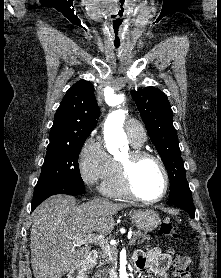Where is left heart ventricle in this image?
<instances>
[{"instance_id":"obj_1","label":"left heart ventricle","mask_w":221,"mask_h":278,"mask_svg":"<svg viewBox=\"0 0 221 278\" xmlns=\"http://www.w3.org/2000/svg\"><path fill=\"white\" fill-rule=\"evenodd\" d=\"M128 151L116 156L120 161H125ZM132 182L135 190L143 197H158L164 186V179L158 164L152 159L138 161L132 169Z\"/></svg>"}]
</instances>
